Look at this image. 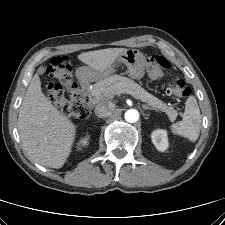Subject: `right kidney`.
I'll return each mask as SVG.
<instances>
[{
  "label": "right kidney",
  "instance_id": "right-kidney-1",
  "mask_svg": "<svg viewBox=\"0 0 225 225\" xmlns=\"http://www.w3.org/2000/svg\"><path fill=\"white\" fill-rule=\"evenodd\" d=\"M87 139H82L81 141H80V144L82 145V146H85V145H87Z\"/></svg>",
  "mask_w": 225,
  "mask_h": 225
}]
</instances>
